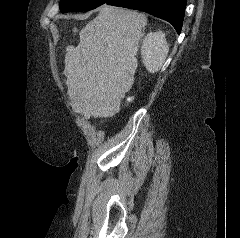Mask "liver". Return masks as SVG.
Listing matches in <instances>:
<instances>
[{"instance_id":"6515ba94","label":"liver","mask_w":240,"mask_h":238,"mask_svg":"<svg viewBox=\"0 0 240 238\" xmlns=\"http://www.w3.org/2000/svg\"><path fill=\"white\" fill-rule=\"evenodd\" d=\"M145 25V15L105 5L81 29L78 46L67 47L65 55L64 75L74 112L86 119L119 112L134 83Z\"/></svg>"}]
</instances>
